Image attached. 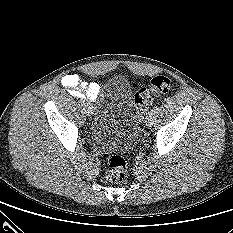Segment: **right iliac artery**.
<instances>
[{"instance_id": "obj_1", "label": "right iliac artery", "mask_w": 233, "mask_h": 233, "mask_svg": "<svg viewBox=\"0 0 233 233\" xmlns=\"http://www.w3.org/2000/svg\"><path fill=\"white\" fill-rule=\"evenodd\" d=\"M80 104H81L82 106L85 105V100L81 99V100H80Z\"/></svg>"}]
</instances>
